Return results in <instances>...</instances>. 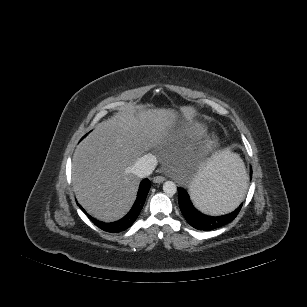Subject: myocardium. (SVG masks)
Returning a JSON list of instances; mask_svg holds the SVG:
<instances>
[{
	"label": "myocardium",
	"mask_w": 307,
	"mask_h": 307,
	"mask_svg": "<svg viewBox=\"0 0 307 307\" xmlns=\"http://www.w3.org/2000/svg\"><path fill=\"white\" fill-rule=\"evenodd\" d=\"M211 143H212L211 136L206 135L201 142L200 148L198 149L199 155H203L206 152V150L209 148Z\"/></svg>",
	"instance_id": "obj_1"
}]
</instances>
